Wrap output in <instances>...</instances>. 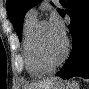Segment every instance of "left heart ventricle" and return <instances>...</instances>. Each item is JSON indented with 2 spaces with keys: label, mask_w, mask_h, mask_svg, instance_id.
Listing matches in <instances>:
<instances>
[{
  "label": "left heart ventricle",
  "mask_w": 89,
  "mask_h": 89,
  "mask_svg": "<svg viewBox=\"0 0 89 89\" xmlns=\"http://www.w3.org/2000/svg\"><path fill=\"white\" fill-rule=\"evenodd\" d=\"M41 48L49 62L56 61L64 48V39L60 38L47 22L43 25L41 33Z\"/></svg>",
  "instance_id": "obj_1"
}]
</instances>
